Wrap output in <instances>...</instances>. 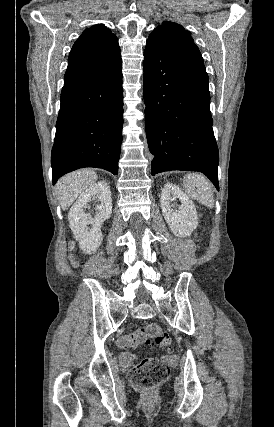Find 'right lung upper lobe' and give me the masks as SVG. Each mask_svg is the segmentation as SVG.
<instances>
[{
	"instance_id": "obj_1",
	"label": "right lung upper lobe",
	"mask_w": 274,
	"mask_h": 427,
	"mask_svg": "<svg viewBox=\"0 0 274 427\" xmlns=\"http://www.w3.org/2000/svg\"><path fill=\"white\" fill-rule=\"evenodd\" d=\"M122 62L117 37L103 24L85 29L72 47L64 86L102 74Z\"/></svg>"
}]
</instances>
